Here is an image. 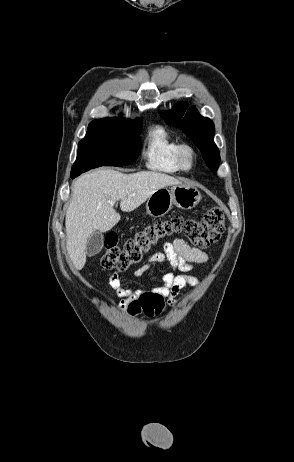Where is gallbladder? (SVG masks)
<instances>
[{"mask_svg": "<svg viewBox=\"0 0 294 462\" xmlns=\"http://www.w3.org/2000/svg\"><path fill=\"white\" fill-rule=\"evenodd\" d=\"M104 236L100 231H94L86 243V255L93 257L98 254L103 247Z\"/></svg>", "mask_w": 294, "mask_h": 462, "instance_id": "bac80fb5", "label": "gallbladder"}]
</instances>
